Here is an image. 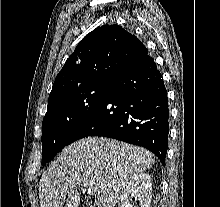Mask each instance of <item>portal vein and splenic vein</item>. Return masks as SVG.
<instances>
[{
  "label": "portal vein and splenic vein",
  "mask_w": 220,
  "mask_h": 207,
  "mask_svg": "<svg viewBox=\"0 0 220 207\" xmlns=\"http://www.w3.org/2000/svg\"><path fill=\"white\" fill-rule=\"evenodd\" d=\"M95 192H96V189L93 188V187H89V188L87 189V193H88L89 195H92V194H94Z\"/></svg>",
  "instance_id": "18ae733b"
}]
</instances>
